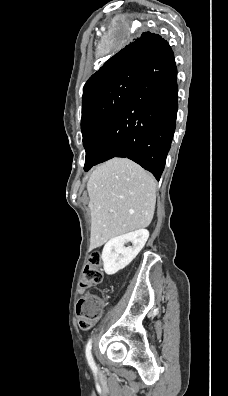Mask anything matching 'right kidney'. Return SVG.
Instances as JSON below:
<instances>
[{
  "mask_svg": "<svg viewBox=\"0 0 228 396\" xmlns=\"http://www.w3.org/2000/svg\"><path fill=\"white\" fill-rule=\"evenodd\" d=\"M148 237V230L139 229L109 240L101 256L106 274L113 275L129 265L142 250ZM129 242L132 246H125Z\"/></svg>",
  "mask_w": 228,
  "mask_h": 396,
  "instance_id": "right-kidney-1",
  "label": "right kidney"
}]
</instances>
